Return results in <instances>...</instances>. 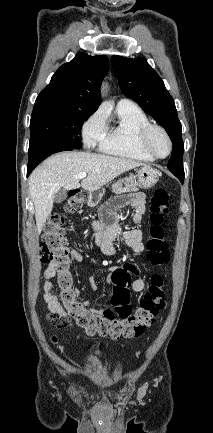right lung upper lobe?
<instances>
[{
	"instance_id": "right-lung-upper-lobe-1",
	"label": "right lung upper lobe",
	"mask_w": 213,
	"mask_h": 433,
	"mask_svg": "<svg viewBox=\"0 0 213 433\" xmlns=\"http://www.w3.org/2000/svg\"><path fill=\"white\" fill-rule=\"evenodd\" d=\"M108 63L105 55L78 53L55 72L36 101L74 104L96 111L101 102L99 88L107 73Z\"/></svg>"
}]
</instances>
